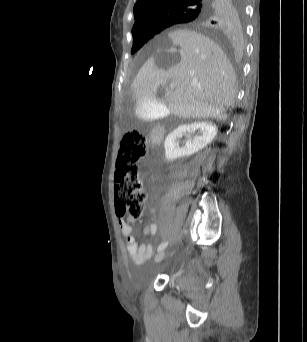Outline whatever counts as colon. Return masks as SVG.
Listing matches in <instances>:
<instances>
[{
	"instance_id": "obj_1",
	"label": "colon",
	"mask_w": 307,
	"mask_h": 342,
	"mask_svg": "<svg viewBox=\"0 0 307 342\" xmlns=\"http://www.w3.org/2000/svg\"><path fill=\"white\" fill-rule=\"evenodd\" d=\"M147 138L139 131L130 130L123 136L118 156L114 186L115 205L120 215L138 220L144 212L147 194L138 179V162L144 157Z\"/></svg>"
}]
</instances>
